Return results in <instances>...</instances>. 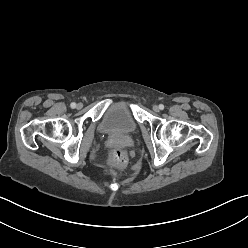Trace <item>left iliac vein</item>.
Wrapping results in <instances>:
<instances>
[{
	"instance_id": "4c4485c4",
	"label": "left iliac vein",
	"mask_w": 248,
	"mask_h": 248,
	"mask_svg": "<svg viewBox=\"0 0 248 248\" xmlns=\"http://www.w3.org/2000/svg\"><path fill=\"white\" fill-rule=\"evenodd\" d=\"M153 110H154L155 112H158V111L160 110V108H159L158 105H154V106H153Z\"/></svg>"
}]
</instances>
